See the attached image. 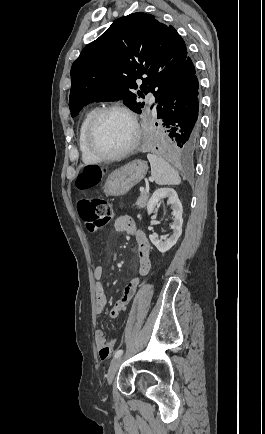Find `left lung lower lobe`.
<instances>
[{
	"label": "left lung lower lobe",
	"mask_w": 265,
	"mask_h": 434,
	"mask_svg": "<svg viewBox=\"0 0 265 434\" xmlns=\"http://www.w3.org/2000/svg\"><path fill=\"white\" fill-rule=\"evenodd\" d=\"M199 84L195 67L188 56L158 99L157 118L163 119L170 141L152 143L161 154L188 155L198 146L200 133Z\"/></svg>",
	"instance_id": "0a47b994"
}]
</instances>
